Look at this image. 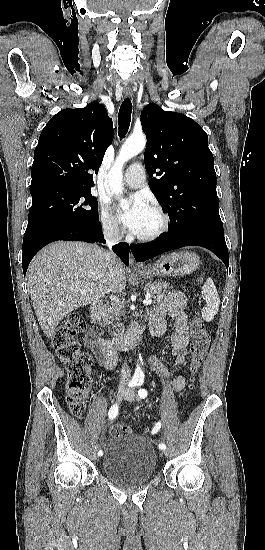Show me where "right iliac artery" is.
Here are the masks:
<instances>
[{"label": "right iliac artery", "instance_id": "82829eb1", "mask_svg": "<svg viewBox=\"0 0 265 550\" xmlns=\"http://www.w3.org/2000/svg\"><path fill=\"white\" fill-rule=\"evenodd\" d=\"M136 383H137V379L133 378L130 382H129V387H134L136 386ZM118 411H119V406L118 404H114L113 406H111V408L109 409V412H108V416H109V419L113 420L114 418H116V416L118 415ZM102 451L100 450L98 452V454H101Z\"/></svg>", "mask_w": 265, "mask_h": 550}]
</instances>
